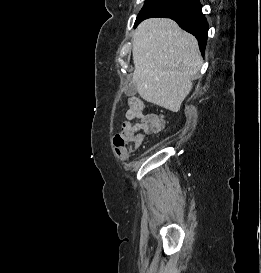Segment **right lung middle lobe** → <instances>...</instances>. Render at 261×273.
I'll use <instances>...</instances> for the list:
<instances>
[{
    "label": "right lung middle lobe",
    "instance_id": "right-lung-middle-lobe-1",
    "mask_svg": "<svg viewBox=\"0 0 261 273\" xmlns=\"http://www.w3.org/2000/svg\"><path fill=\"white\" fill-rule=\"evenodd\" d=\"M171 9L168 6L167 0H146L142 10L137 16L135 21V27L141 22L143 19L159 15L167 10Z\"/></svg>",
    "mask_w": 261,
    "mask_h": 273
}]
</instances>
